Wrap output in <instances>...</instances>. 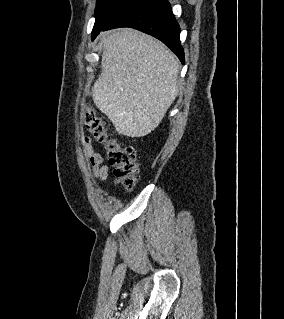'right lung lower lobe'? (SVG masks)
<instances>
[{
    "label": "right lung lower lobe",
    "mask_w": 284,
    "mask_h": 319,
    "mask_svg": "<svg viewBox=\"0 0 284 319\" xmlns=\"http://www.w3.org/2000/svg\"><path fill=\"white\" fill-rule=\"evenodd\" d=\"M131 27L150 34L168 46L184 64L180 44V27L167 0H137L118 14L106 26L92 33L94 39L101 31Z\"/></svg>",
    "instance_id": "98d812e1"
}]
</instances>
